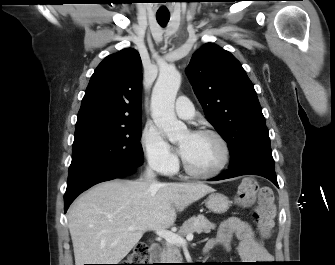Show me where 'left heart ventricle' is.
Returning a JSON list of instances; mask_svg holds the SVG:
<instances>
[{
	"mask_svg": "<svg viewBox=\"0 0 335 265\" xmlns=\"http://www.w3.org/2000/svg\"><path fill=\"white\" fill-rule=\"evenodd\" d=\"M179 145L186 163L199 172L213 170L222 159L221 145L211 136L187 133L179 140Z\"/></svg>",
	"mask_w": 335,
	"mask_h": 265,
	"instance_id": "1",
	"label": "left heart ventricle"
}]
</instances>
